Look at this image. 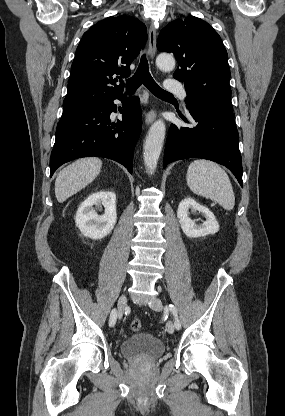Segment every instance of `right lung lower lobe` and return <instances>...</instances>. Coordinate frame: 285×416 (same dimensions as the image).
<instances>
[{"label": "right lung lower lobe", "instance_id": "obj_1", "mask_svg": "<svg viewBox=\"0 0 285 416\" xmlns=\"http://www.w3.org/2000/svg\"><path fill=\"white\" fill-rule=\"evenodd\" d=\"M122 121L111 123L117 106L106 104L63 112L56 128L50 157L51 175L62 164L81 157H104L124 165L132 174L133 153L141 133V110L137 97L125 100Z\"/></svg>", "mask_w": 285, "mask_h": 416}]
</instances>
